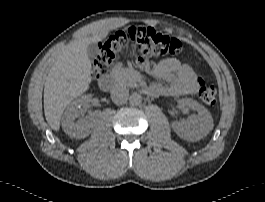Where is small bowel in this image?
Masks as SVG:
<instances>
[{
    "instance_id": "small-bowel-1",
    "label": "small bowel",
    "mask_w": 265,
    "mask_h": 202,
    "mask_svg": "<svg viewBox=\"0 0 265 202\" xmlns=\"http://www.w3.org/2000/svg\"><path fill=\"white\" fill-rule=\"evenodd\" d=\"M144 69L154 79L167 83V85L153 84L151 87L154 89V93L150 94L152 96H184L193 94L198 89L197 75L194 69L177 59H165Z\"/></svg>"
}]
</instances>
